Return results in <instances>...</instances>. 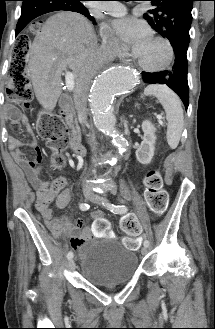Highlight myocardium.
Returning a JSON list of instances; mask_svg holds the SVG:
<instances>
[{"mask_svg": "<svg viewBox=\"0 0 215 329\" xmlns=\"http://www.w3.org/2000/svg\"><path fill=\"white\" fill-rule=\"evenodd\" d=\"M152 39L159 42V43H161L166 48V50H167V59H166V61L160 66L149 67V66H146V65H144L143 63H141L139 61L136 53L133 54L134 61H135L136 65L141 70H143L145 72H148V73H158V72L165 71L172 65V63L175 59L174 47L168 39H166L162 36H154Z\"/></svg>", "mask_w": 215, "mask_h": 329, "instance_id": "1", "label": "myocardium"}]
</instances>
